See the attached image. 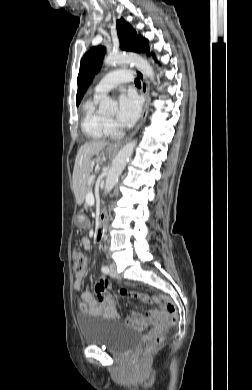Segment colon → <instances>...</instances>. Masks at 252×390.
Returning <instances> with one entry per match:
<instances>
[{"label": "colon", "mask_w": 252, "mask_h": 390, "mask_svg": "<svg viewBox=\"0 0 252 390\" xmlns=\"http://www.w3.org/2000/svg\"><path fill=\"white\" fill-rule=\"evenodd\" d=\"M87 261H88L87 256L81 248L76 247L72 250V263H73V269L75 273H79L83 271L87 265ZM118 293L122 296H130L131 298L136 300H142V301L148 300L147 295L139 292L129 291L124 288L119 289ZM158 298L163 299L165 301L163 308L167 315V324L169 326L175 325L178 321V313L175 304L164 295H160ZM80 307L82 310L84 311L86 310V307L83 303L80 304ZM164 340H165L164 333L156 335L154 339L144 347L142 351V355L144 357L150 356L152 353H154L163 345Z\"/></svg>", "instance_id": "5ec220e1"}]
</instances>
